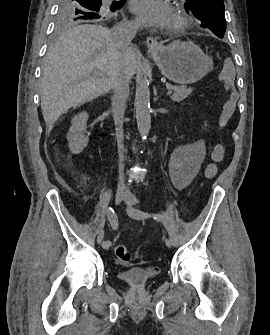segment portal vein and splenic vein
Masks as SVG:
<instances>
[{
  "label": "portal vein and splenic vein",
  "instance_id": "1",
  "mask_svg": "<svg viewBox=\"0 0 270 335\" xmlns=\"http://www.w3.org/2000/svg\"><path fill=\"white\" fill-rule=\"evenodd\" d=\"M174 89V88H173ZM168 93L166 94L168 97H170L172 94H171V90L169 89L168 91H167ZM174 92V91H173Z\"/></svg>",
  "mask_w": 270,
  "mask_h": 335
}]
</instances>
